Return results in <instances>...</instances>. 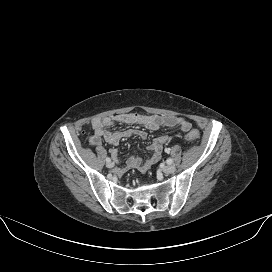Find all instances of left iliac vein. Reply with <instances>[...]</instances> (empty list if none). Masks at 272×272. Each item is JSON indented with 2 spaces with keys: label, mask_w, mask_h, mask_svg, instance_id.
I'll use <instances>...</instances> for the list:
<instances>
[{
  "label": "left iliac vein",
  "mask_w": 272,
  "mask_h": 272,
  "mask_svg": "<svg viewBox=\"0 0 272 272\" xmlns=\"http://www.w3.org/2000/svg\"><path fill=\"white\" fill-rule=\"evenodd\" d=\"M176 170V167L172 164H168V165H165L163 168H162V171L165 173V174H172L174 173Z\"/></svg>",
  "instance_id": "1"
}]
</instances>
